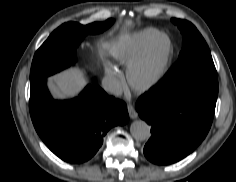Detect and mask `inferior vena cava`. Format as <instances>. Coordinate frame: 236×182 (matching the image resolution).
<instances>
[{
  "label": "inferior vena cava",
  "instance_id": "inferior-vena-cava-1",
  "mask_svg": "<svg viewBox=\"0 0 236 182\" xmlns=\"http://www.w3.org/2000/svg\"><path fill=\"white\" fill-rule=\"evenodd\" d=\"M102 87L105 91L115 95L120 96L122 94V87L118 80L105 77L102 80Z\"/></svg>",
  "mask_w": 236,
  "mask_h": 182
}]
</instances>
